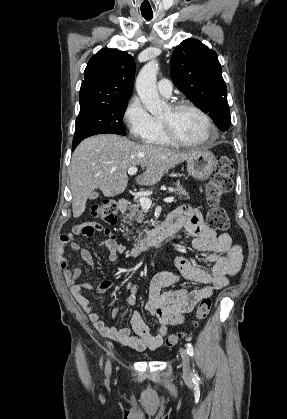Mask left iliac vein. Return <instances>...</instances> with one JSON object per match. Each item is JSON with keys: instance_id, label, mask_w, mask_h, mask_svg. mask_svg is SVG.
Returning a JSON list of instances; mask_svg holds the SVG:
<instances>
[{"instance_id": "obj_1", "label": "left iliac vein", "mask_w": 287, "mask_h": 419, "mask_svg": "<svg viewBox=\"0 0 287 419\" xmlns=\"http://www.w3.org/2000/svg\"><path fill=\"white\" fill-rule=\"evenodd\" d=\"M181 358L183 363V375L185 379L190 380L192 378V370L190 365V357L185 349L181 350Z\"/></svg>"}]
</instances>
